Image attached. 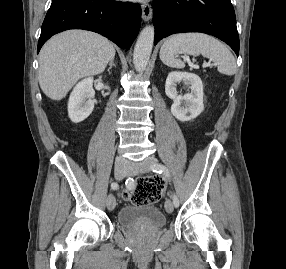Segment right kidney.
Here are the masks:
<instances>
[{
  "instance_id": "obj_1",
  "label": "right kidney",
  "mask_w": 286,
  "mask_h": 269,
  "mask_svg": "<svg viewBox=\"0 0 286 269\" xmlns=\"http://www.w3.org/2000/svg\"><path fill=\"white\" fill-rule=\"evenodd\" d=\"M94 95L92 77L83 79L74 87L68 102V115L73 123L82 122L92 113Z\"/></svg>"
}]
</instances>
